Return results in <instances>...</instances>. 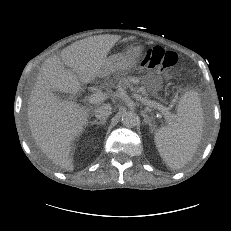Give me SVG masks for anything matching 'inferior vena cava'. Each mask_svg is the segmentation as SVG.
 I'll use <instances>...</instances> for the list:
<instances>
[{"mask_svg": "<svg viewBox=\"0 0 231 231\" xmlns=\"http://www.w3.org/2000/svg\"><path fill=\"white\" fill-rule=\"evenodd\" d=\"M112 106L110 104H103L94 110L95 117L99 120H105L111 114Z\"/></svg>", "mask_w": 231, "mask_h": 231, "instance_id": "inferior-vena-cava-1", "label": "inferior vena cava"}]
</instances>
